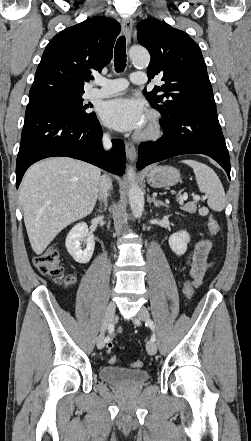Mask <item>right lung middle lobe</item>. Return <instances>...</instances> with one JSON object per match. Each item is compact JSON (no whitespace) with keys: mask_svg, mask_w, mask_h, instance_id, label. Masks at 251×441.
Instances as JSON below:
<instances>
[{"mask_svg":"<svg viewBox=\"0 0 251 441\" xmlns=\"http://www.w3.org/2000/svg\"><path fill=\"white\" fill-rule=\"evenodd\" d=\"M29 104L53 109L78 120H87L95 114L87 110L92 105H83L82 95H55Z\"/></svg>","mask_w":251,"mask_h":441,"instance_id":"right-lung-middle-lobe-1","label":"right lung middle lobe"}]
</instances>
